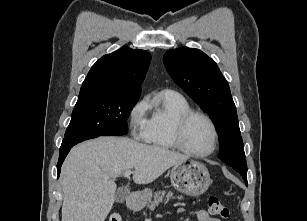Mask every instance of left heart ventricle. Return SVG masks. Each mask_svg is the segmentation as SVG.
Returning <instances> with one entry per match:
<instances>
[{"label": "left heart ventricle", "mask_w": 307, "mask_h": 221, "mask_svg": "<svg viewBox=\"0 0 307 221\" xmlns=\"http://www.w3.org/2000/svg\"><path fill=\"white\" fill-rule=\"evenodd\" d=\"M185 145L193 152L205 153L213 143L210 125L202 117H194L188 123L184 134Z\"/></svg>", "instance_id": "1"}]
</instances>
